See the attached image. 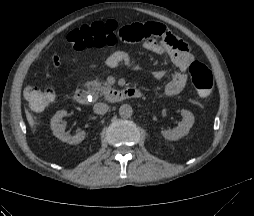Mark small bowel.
Instances as JSON below:
<instances>
[{"mask_svg": "<svg viewBox=\"0 0 254 216\" xmlns=\"http://www.w3.org/2000/svg\"><path fill=\"white\" fill-rule=\"evenodd\" d=\"M117 37L126 43L141 41L150 52L168 54L176 69L158 70L152 73V77L155 80H160L165 76L170 77L165 86V93L168 96H175L183 91L187 83L185 71L193 60L189 46L184 40L156 22L122 25L117 30ZM130 62L129 54L118 50L111 53L103 64L109 68H116L122 64L129 65ZM52 64L55 77H59L61 62L57 54L53 56Z\"/></svg>", "mask_w": 254, "mask_h": 216, "instance_id": "obj_1", "label": "small bowel"}]
</instances>
